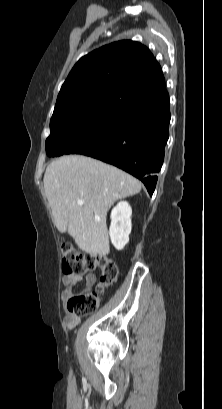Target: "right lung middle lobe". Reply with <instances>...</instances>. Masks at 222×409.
<instances>
[{"instance_id":"dd1d6c3e","label":"right lung middle lobe","mask_w":222,"mask_h":409,"mask_svg":"<svg viewBox=\"0 0 222 409\" xmlns=\"http://www.w3.org/2000/svg\"><path fill=\"white\" fill-rule=\"evenodd\" d=\"M119 106L114 102H102L54 112L50 136L46 140L47 155H87L95 151L105 139Z\"/></svg>"}]
</instances>
